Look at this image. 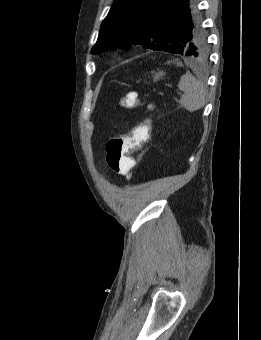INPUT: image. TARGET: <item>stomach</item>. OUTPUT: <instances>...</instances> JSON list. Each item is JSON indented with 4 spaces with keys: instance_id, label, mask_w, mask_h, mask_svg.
<instances>
[{
    "instance_id": "0dacf381",
    "label": "stomach",
    "mask_w": 261,
    "mask_h": 340,
    "mask_svg": "<svg viewBox=\"0 0 261 340\" xmlns=\"http://www.w3.org/2000/svg\"><path fill=\"white\" fill-rule=\"evenodd\" d=\"M164 75H165V72H164V71L154 72V73H153V80H154V81H157V80H159L160 78H162Z\"/></svg>"
}]
</instances>
